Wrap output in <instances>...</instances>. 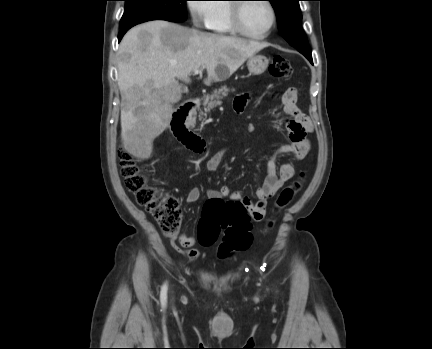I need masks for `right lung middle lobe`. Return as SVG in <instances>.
I'll use <instances>...</instances> for the list:
<instances>
[{
  "label": "right lung middle lobe",
  "mask_w": 432,
  "mask_h": 349,
  "mask_svg": "<svg viewBox=\"0 0 432 349\" xmlns=\"http://www.w3.org/2000/svg\"><path fill=\"white\" fill-rule=\"evenodd\" d=\"M124 14L120 28L132 27L150 20L182 22L186 20L187 0H124Z\"/></svg>",
  "instance_id": "obj_1"
}]
</instances>
